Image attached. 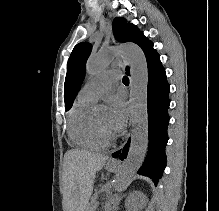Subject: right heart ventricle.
Segmentation results:
<instances>
[{
  "label": "right heart ventricle",
  "instance_id": "right-heart-ventricle-1",
  "mask_svg": "<svg viewBox=\"0 0 219 211\" xmlns=\"http://www.w3.org/2000/svg\"><path fill=\"white\" fill-rule=\"evenodd\" d=\"M94 103L77 98L68 114V135L77 145L90 149L101 150L107 145V139L99 132L92 106Z\"/></svg>",
  "mask_w": 219,
  "mask_h": 211
}]
</instances>
